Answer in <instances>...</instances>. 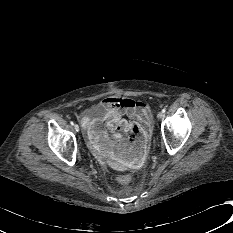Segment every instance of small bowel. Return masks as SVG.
<instances>
[{
    "instance_id": "1",
    "label": "small bowel",
    "mask_w": 233,
    "mask_h": 233,
    "mask_svg": "<svg viewBox=\"0 0 233 233\" xmlns=\"http://www.w3.org/2000/svg\"><path fill=\"white\" fill-rule=\"evenodd\" d=\"M101 105L107 110L106 118H86L83 121L93 149L127 164L137 162L143 153L145 136L134 125L140 123L144 128L147 127L151 118L150 108L142 101L117 96L105 98ZM104 122L109 128L102 131Z\"/></svg>"
}]
</instances>
